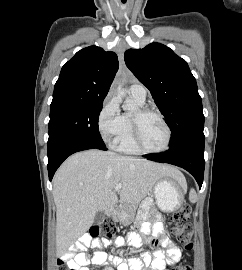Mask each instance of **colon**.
<instances>
[{
  "label": "colon",
  "instance_id": "obj_1",
  "mask_svg": "<svg viewBox=\"0 0 242 270\" xmlns=\"http://www.w3.org/2000/svg\"><path fill=\"white\" fill-rule=\"evenodd\" d=\"M191 209L188 205L179 207L171 216L170 234L181 244L185 249L190 250L193 247L192 243V227L187 222ZM117 231L116 224L113 220L106 218L97 226L93 227L87 234L92 239H111ZM59 270H67V268L59 262ZM172 270H192L189 263L176 264Z\"/></svg>",
  "mask_w": 242,
  "mask_h": 270
}]
</instances>
